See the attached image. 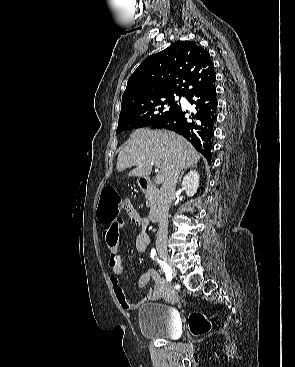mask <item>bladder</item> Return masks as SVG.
<instances>
[{
	"instance_id": "bladder-1",
	"label": "bladder",
	"mask_w": 295,
	"mask_h": 367,
	"mask_svg": "<svg viewBox=\"0 0 295 367\" xmlns=\"http://www.w3.org/2000/svg\"><path fill=\"white\" fill-rule=\"evenodd\" d=\"M139 331L149 339H173L177 335V312L161 302H148L139 308Z\"/></svg>"
}]
</instances>
